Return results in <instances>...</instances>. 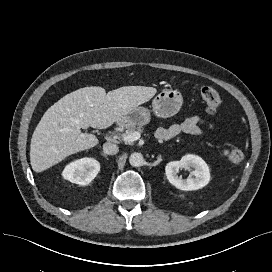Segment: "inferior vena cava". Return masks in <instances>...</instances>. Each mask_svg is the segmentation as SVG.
Wrapping results in <instances>:
<instances>
[{"label":"inferior vena cava","mask_w":272,"mask_h":272,"mask_svg":"<svg viewBox=\"0 0 272 272\" xmlns=\"http://www.w3.org/2000/svg\"><path fill=\"white\" fill-rule=\"evenodd\" d=\"M119 151V147L116 144L107 142L103 145V152L108 155L117 154Z\"/></svg>","instance_id":"602c4592"}]
</instances>
